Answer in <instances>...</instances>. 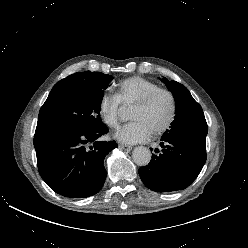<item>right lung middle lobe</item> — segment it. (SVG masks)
<instances>
[{
    "label": "right lung middle lobe",
    "instance_id": "dd1d6c3e",
    "mask_svg": "<svg viewBox=\"0 0 248 248\" xmlns=\"http://www.w3.org/2000/svg\"><path fill=\"white\" fill-rule=\"evenodd\" d=\"M112 80L101 72H81L61 91L48 96L39 112L37 127L99 129L103 91Z\"/></svg>",
    "mask_w": 248,
    "mask_h": 248
}]
</instances>
